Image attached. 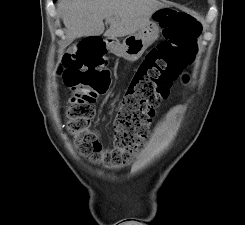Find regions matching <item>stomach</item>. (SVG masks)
<instances>
[{"label": "stomach", "instance_id": "1", "mask_svg": "<svg viewBox=\"0 0 245 225\" xmlns=\"http://www.w3.org/2000/svg\"><path fill=\"white\" fill-rule=\"evenodd\" d=\"M163 9L155 11L151 15V20L138 33L127 36L123 43L116 38H111L109 47L112 53L130 62L137 61L144 51L158 39L160 27L156 18L161 13L159 11Z\"/></svg>", "mask_w": 245, "mask_h": 225}]
</instances>
